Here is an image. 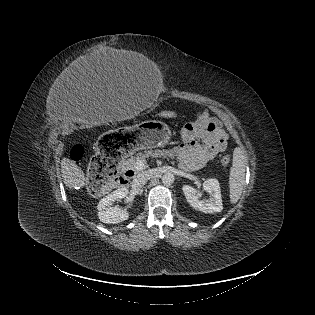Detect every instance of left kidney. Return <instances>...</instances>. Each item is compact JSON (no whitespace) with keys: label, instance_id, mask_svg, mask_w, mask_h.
Instances as JSON below:
<instances>
[{"label":"left kidney","instance_id":"left-kidney-1","mask_svg":"<svg viewBox=\"0 0 315 315\" xmlns=\"http://www.w3.org/2000/svg\"><path fill=\"white\" fill-rule=\"evenodd\" d=\"M203 188L210 194L205 200H200L195 188L189 185L182 187L187 202L196 210L204 213H217L223 209L221 190L217 179H207L203 183Z\"/></svg>","mask_w":315,"mask_h":315}]
</instances>
